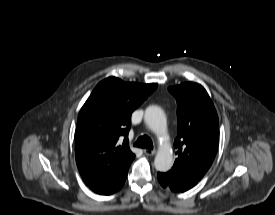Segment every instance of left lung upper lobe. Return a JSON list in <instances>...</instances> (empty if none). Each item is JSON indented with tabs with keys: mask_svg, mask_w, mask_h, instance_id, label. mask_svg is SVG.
<instances>
[{
	"mask_svg": "<svg viewBox=\"0 0 275 215\" xmlns=\"http://www.w3.org/2000/svg\"><path fill=\"white\" fill-rule=\"evenodd\" d=\"M168 90L178 104V158L171 171L199 181L210 168L219 143V120L206 90L197 83H183Z\"/></svg>",
	"mask_w": 275,
	"mask_h": 215,
	"instance_id": "obj_1",
	"label": "left lung upper lobe"
}]
</instances>
